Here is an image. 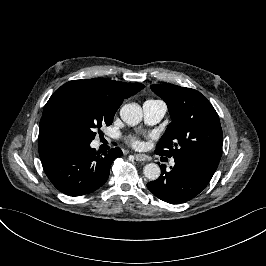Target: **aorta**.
<instances>
[{"instance_id":"762f6f07","label":"aorta","mask_w":266,"mask_h":266,"mask_svg":"<svg viewBox=\"0 0 266 266\" xmlns=\"http://www.w3.org/2000/svg\"><path fill=\"white\" fill-rule=\"evenodd\" d=\"M122 120L129 125H138L143 119V111L139 104L128 103L120 110ZM144 176L150 180H157L161 174V169L156 163H148L143 168Z\"/></svg>"}]
</instances>
